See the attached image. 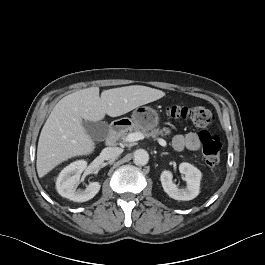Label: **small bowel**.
<instances>
[{"mask_svg": "<svg viewBox=\"0 0 265 265\" xmlns=\"http://www.w3.org/2000/svg\"><path fill=\"white\" fill-rule=\"evenodd\" d=\"M173 146L176 150L179 151H182L184 149L198 150L200 147V139L199 136L193 132L180 134L175 136L173 140Z\"/></svg>", "mask_w": 265, "mask_h": 265, "instance_id": "small-bowel-1", "label": "small bowel"}]
</instances>
